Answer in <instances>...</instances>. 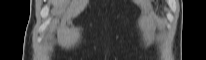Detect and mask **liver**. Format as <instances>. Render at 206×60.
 I'll return each mask as SVG.
<instances>
[{
    "mask_svg": "<svg viewBox=\"0 0 206 60\" xmlns=\"http://www.w3.org/2000/svg\"><path fill=\"white\" fill-rule=\"evenodd\" d=\"M69 0H52L54 9H63L66 7Z\"/></svg>",
    "mask_w": 206,
    "mask_h": 60,
    "instance_id": "6515ba94",
    "label": "liver"
}]
</instances>
